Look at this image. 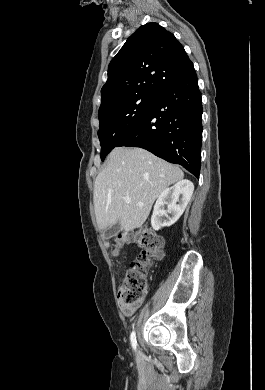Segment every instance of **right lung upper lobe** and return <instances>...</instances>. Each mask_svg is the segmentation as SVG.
Wrapping results in <instances>:
<instances>
[{
	"label": "right lung upper lobe",
	"mask_w": 265,
	"mask_h": 390,
	"mask_svg": "<svg viewBox=\"0 0 265 390\" xmlns=\"http://www.w3.org/2000/svg\"><path fill=\"white\" fill-rule=\"evenodd\" d=\"M191 64L171 32L154 22L141 26L108 66L99 111L137 94H155Z\"/></svg>",
	"instance_id": "obj_1"
}]
</instances>
